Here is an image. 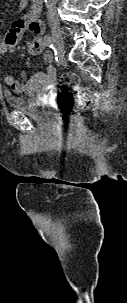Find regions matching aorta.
Returning a JSON list of instances; mask_svg holds the SVG:
<instances>
[{"label":"aorta","mask_w":127,"mask_h":303,"mask_svg":"<svg viewBox=\"0 0 127 303\" xmlns=\"http://www.w3.org/2000/svg\"><path fill=\"white\" fill-rule=\"evenodd\" d=\"M46 4L49 5V6H53L57 0H45Z\"/></svg>","instance_id":"obj_1"}]
</instances>
